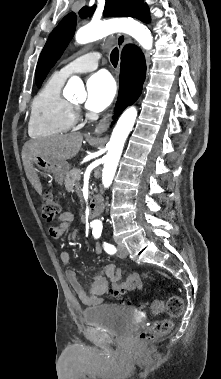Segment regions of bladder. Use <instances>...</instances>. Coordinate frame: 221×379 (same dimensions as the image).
I'll use <instances>...</instances> for the list:
<instances>
[{
  "label": "bladder",
  "instance_id": "1",
  "mask_svg": "<svg viewBox=\"0 0 221 379\" xmlns=\"http://www.w3.org/2000/svg\"><path fill=\"white\" fill-rule=\"evenodd\" d=\"M82 316L86 324L102 327L112 335L120 337L129 335L139 322L132 308L117 304L87 308Z\"/></svg>",
  "mask_w": 221,
  "mask_h": 379
}]
</instances>
